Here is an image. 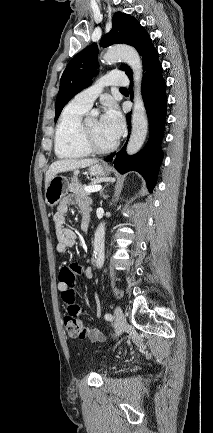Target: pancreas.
<instances>
[{
  "instance_id": "1",
  "label": "pancreas",
  "mask_w": 213,
  "mask_h": 433,
  "mask_svg": "<svg viewBox=\"0 0 213 433\" xmlns=\"http://www.w3.org/2000/svg\"><path fill=\"white\" fill-rule=\"evenodd\" d=\"M84 187H86V185H82L79 181L77 177H73L71 180V184L69 186L70 191L73 192L74 194H76L77 196H87L89 195L88 192L84 191Z\"/></svg>"
}]
</instances>
